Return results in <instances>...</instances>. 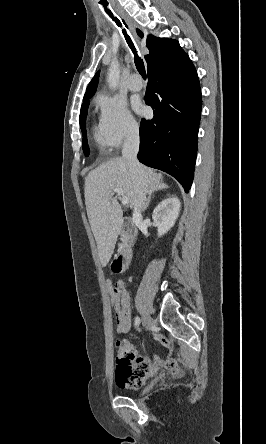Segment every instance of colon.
Listing matches in <instances>:
<instances>
[{
    "label": "colon",
    "mask_w": 266,
    "mask_h": 444,
    "mask_svg": "<svg viewBox=\"0 0 266 444\" xmlns=\"http://www.w3.org/2000/svg\"><path fill=\"white\" fill-rule=\"evenodd\" d=\"M123 291H124V285L122 281L117 280L112 282L110 287V294H111V303L114 308H117L119 306Z\"/></svg>",
    "instance_id": "5ec220e1"
}]
</instances>
